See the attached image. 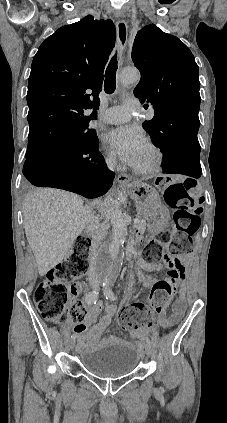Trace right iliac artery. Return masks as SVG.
<instances>
[{
    "instance_id": "right-iliac-artery-1",
    "label": "right iliac artery",
    "mask_w": 227,
    "mask_h": 423,
    "mask_svg": "<svg viewBox=\"0 0 227 423\" xmlns=\"http://www.w3.org/2000/svg\"><path fill=\"white\" fill-rule=\"evenodd\" d=\"M98 291L93 290L89 291L85 294V302L87 305H93L96 304V301L98 300ZM77 337L76 333L72 334L71 338L75 339Z\"/></svg>"
}]
</instances>
